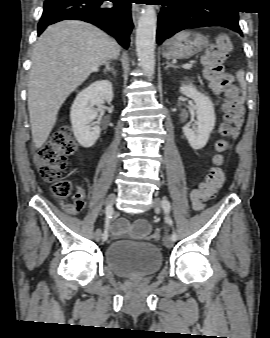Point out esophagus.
I'll use <instances>...</instances> for the list:
<instances>
[{
	"label": "esophagus",
	"instance_id": "obj_1",
	"mask_svg": "<svg viewBox=\"0 0 270 338\" xmlns=\"http://www.w3.org/2000/svg\"><path fill=\"white\" fill-rule=\"evenodd\" d=\"M140 14H141V7L136 3H132V18L134 22L138 20Z\"/></svg>",
	"mask_w": 270,
	"mask_h": 338
}]
</instances>
